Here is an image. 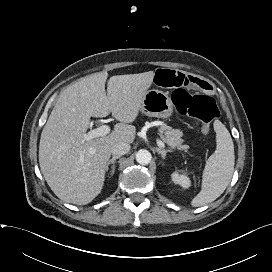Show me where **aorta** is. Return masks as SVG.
Instances as JSON below:
<instances>
[{
    "label": "aorta",
    "instance_id": "aorta-1",
    "mask_svg": "<svg viewBox=\"0 0 272 272\" xmlns=\"http://www.w3.org/2000/svg\"><path fill=\"white\" fill-rule=\"evenodd\" d=\"M151 159L152 155L148 150L141 149L136 153V161L141 165H148Z\"/></svg>",
    "mask_w": 272,
    "mask_h": 272
}]
</instances>
